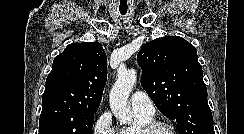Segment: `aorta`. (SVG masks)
I'll use <instances>...</instances> for the list:
<instances>
[{
	"mask_svg": "<svg viewBox=\"0 0 244 134\" xmlns=\"http://www.w3.org/2000/svg\"><path fill=\"white\" fill-rule=\"evenodd\" d=\"M136 78V71L134 69H119L117 80L110 90V108L120 124H127L132 121L128 97L136 83Z\"/></svg>",
	"mask_w": 244,
	"mask_h": 134,
	"instance_id": "1",
	"label": "aorta"
}]
</instances>
